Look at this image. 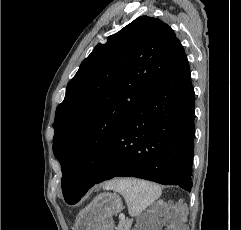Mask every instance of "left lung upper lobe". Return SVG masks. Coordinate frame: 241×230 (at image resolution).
I'll list each match as a JSON object with an SVG mask.
<instances>
[{
  "mask_svg": "<svg viewBox=\"0 0 241 230\" xmlns=\"http://www.w3.org/2000/svg\"><path fill=\"white\" fill-rule=\"evenodd\" d=\"M184 56L170 26L140 16L82 61L53 124V151L62 167V192L68 204L76 203L84 188L80 163L116 137Z\"/></svg>",
  "mask_w": 241,
  "mask_h": 230,
  "instance_id": "obj_1",
  "label": "left lung upper lobe"
}]
</instances>
